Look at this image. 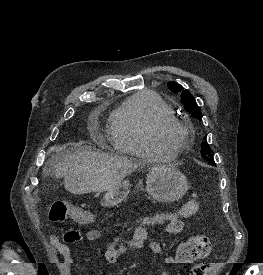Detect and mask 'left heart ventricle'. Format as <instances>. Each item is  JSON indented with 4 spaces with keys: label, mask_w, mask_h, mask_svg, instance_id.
<instances>
[{
    "label": "left heart ventricle",
    "mask_w": 263,
    "mask_h": 275,
    "mask_svg": "<svg viewBox=\"0 0 263 275\" xmlns=\"http://www.w3.org/2000/svg\"><path fill=\"white\" fill-rule=\"evenodd\" d=\"M161 137L165 142L173 143L176 141L178 136H177L176 132H174L172 130H168V131L163 132L161 134Z\"/></svg>",
    "instance_id": "left-heart-ventricle-1"
}]
</instances>
